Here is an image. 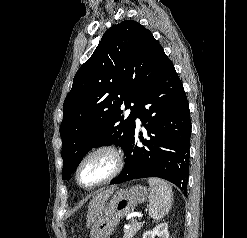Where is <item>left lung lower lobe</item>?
I'll return each mask as SVG.
<instances>
[{"instance_id": "1", "label": "left lung lower lobe", "mask_w": 247, "mask_h": 238, "mask_svg": "<svg viewBox=\"0 0 247 238\" xmlns=\"http://www.w3.org/2000/svg\"><path fill=\"white\" fill-rule=\"evenodd\" d=\"M149 140L136 144L135 129L124 151L125 166L111 183L159 177L186 193L189 176L191 121L183 85L168 59L163 61L136 114ZM140 135L142 133H139Z\"/></svg>"}]
</instances>
